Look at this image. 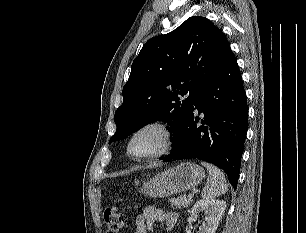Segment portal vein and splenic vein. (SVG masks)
I'll return each mask as SVG.
<instances>
[{
  "mask_svg": "<svg viewBox=\"0 0 306 233\" xmlns=\"http://www.w3.org/2000/svg\"><path fill=\"white\" fill-rule=\"evenodd\" d=\"M193 197H194V194L190 193L189 198H193Z\"/></svg>",
  "mask_w": 306,
  "mask_h": 233,
  "instance_id": "portal-vein-and-splenic-vein-1",
  "label": "portal vein and splenic vein"
}]
</instances>
